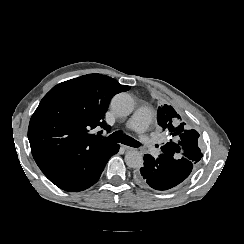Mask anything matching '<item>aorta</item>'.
Listing matches in <instances>:
<instances>
[{
    "mask_svg": "<svg viewBox=\"0 0 244 244\" xmlns=\"http://www.w3.org/2000/svg\"><path fill=\"white\" fill-rule=\"evenodd\" d=\"M110 106L115 115L126 117L134 110V100L128 94L120 93L113 97ZM125 162L128 167L138 169L143 166V156L139 151L131 149L125 154Z\"/></svg>",
    "mask_w": 244,
    "mask_h": 244,
    "instance_id": "obj_1",
    "label": "aorta"
}]
</instances>
